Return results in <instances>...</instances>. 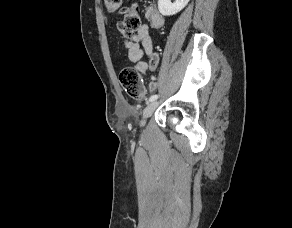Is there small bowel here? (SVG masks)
Here are the masks:
<instances>
[{
    "label": "small bowel",
    "instance_id": "obj_1",
    "mask_svg": "<svg viewBox=\"0 0 292 228\" xmlns=\"http://www.w3.org/2000/svg\"><path fill=\"white\" fill-rule=\"evenodd\" d=\"M125 47L128 51V59L134 64V67L144 74L148 70L154 71L158 64V58L153 53V43L148 25H142L141 28L131 37L125 40ZM147 56L149 62L143 61L142 58ZM157 89L155 79L149 85L151 92Z\"/></svg>",
    "mask_w": 292,
    "mask_h": 228
}]
</instances>
